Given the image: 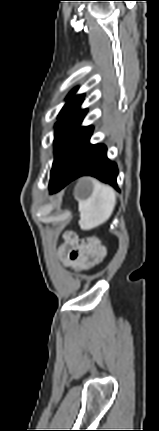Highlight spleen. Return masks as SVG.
<instances>
[{
	"label": "spleen",
	"mask_w": 159,
	"mask_h": 431,
	"mask_svg": "<svg viewBox=\"0 0 159 431\" xmlns=\"http://www.w3.org/2000/svg\"><path fill=\"white\" fill-rule=\"evenodd\" d=\"M116 205V193L113 188L100 182H95L91 197L79 201L80 227L89 230L105 223Z\"/></svg>",
	"instance_id": "1"
}]
</instances>
